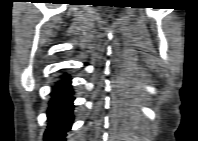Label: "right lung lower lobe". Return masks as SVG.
<instances>
[{
    "label": "right lung lower lobe",
    "mask_w": 198,
    "mask_h": 141,
    "mask_svg": "<svg viewBox=\"0 0 198 141\" xmlns=\"http://www.w3.org/2000/svg\"><path fill=\"white\" fill-rule=\"evenodd\" d=\"M71 77L62 73L52 86L49 108L47 111L48 126L45 138L49 140H64L73 123V89Z\"/></svg>",
    "instance_id": "1"
}]
</instances>
